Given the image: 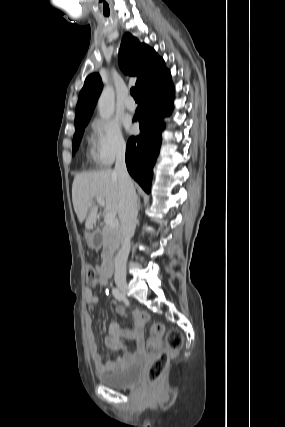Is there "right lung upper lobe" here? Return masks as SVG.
<instances>
[{"label": "right lung upper lobe", "instance_id": "cb5924a9", "mask_svg": "<svg viewBox=\"0 0 285 427\" xmlns=\"http://www.w3.org/2000/svg\"><path fill=\"white\" fill-rule=\"evenodd\" d=\"M119 65L123 72L137 76L136 86H138L139 91L148 81L166 69L165 62L156 54L154 49L140 43L130 33H125L123 36ZM102 87L101 78L98 74L93 73L86 78L76 106L75 128L87 125L89 122Z\"/></svg>", "mask_w": 285, "mask_h": 427}]
</instances>
